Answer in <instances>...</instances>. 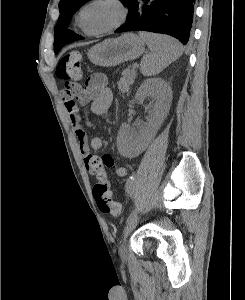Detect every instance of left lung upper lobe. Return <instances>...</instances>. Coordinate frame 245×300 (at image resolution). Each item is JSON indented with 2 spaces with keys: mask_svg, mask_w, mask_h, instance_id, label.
<instances>
[{
  "mask_svg": "<svg viewBox=\"0 0 245 300\" xmlns=\"http://www.w3.org/2000/svg\"><path fill=\"white\" fill-rule=\"evenodd\" d=\"M87 1L89 0H60L59 3L60 16L58 19L59 25L55 26V30H54L55 53H57L59 49L63 47V45L75 40L83 39V37L67 29V27L69 25V20L73 16V14ZM120 1L128 7L129 15H130L134 0H120Z\"/></svg>",
  "mask_w": 245,
  "mask_h": 300,
  "instance_id": "1",
  "label": "left lung upper lobe"
}]
</instances>
